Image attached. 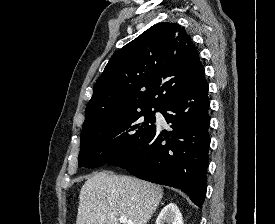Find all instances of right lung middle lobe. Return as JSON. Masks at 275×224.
Returning <instances> with one entry per match:
<instances>
[{"mask_svg":"<svg viewBox=\"0 0 275 224\" xmlns=\"http://www.w3.org/2000/svg\"><path fill=\"white\" fill-rule=\"evenodd\" d=\"M155 111L152 108L132 111L84 128L81 132L79 167L96 168L110 164L135 147L155 130Z\"/></svg>","mask_w":275,"mask_h":224,"instance_id":"1","label":"right lung middle lobe"}]
</instances>
